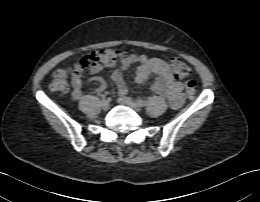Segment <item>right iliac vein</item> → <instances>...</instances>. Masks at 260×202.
Here are the masks:
<instances>
[{
	"instance_id": "63e3f726",
	"label": "right iliac vein",
	"mask_w": 260,
	"mask_h": 202,
	"mask_svg": "<svg viewBox=\"0 0 260 202\" xmlns=\"http://www.w3.org/2000/svg\"><path fill=\"white\" fill-rule=\"evenodd\" d=\"M109 106H110V103H109L108 100H103V101L101 102V107H102L103 109H108Z\"/></svg>"
}]
</instances>
